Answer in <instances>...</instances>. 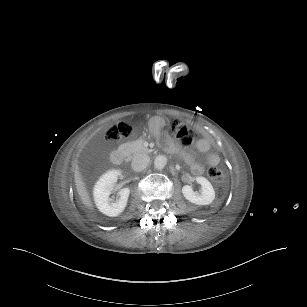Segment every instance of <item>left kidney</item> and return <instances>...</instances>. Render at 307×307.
I'll use <instances>...</instances> for the list:
<instances>
[{"label": "left kidney", "mask_w": 307, "mask_h": 307, "mask_svg": "<svg viewBox=\"0 0 307 307\" xmlns=\"http://www.w3.org/2000/svg\"><path fill=\"white\" fill-rule=\"evenodd\" d=\"M195 181L201 186L198 193L194 192L189 185L182 187V194L189 202L204 206L215 200V190L210 181L204 176H196Z\"/></svg>", "instance_id": "5707ae66"}]
</instances>
